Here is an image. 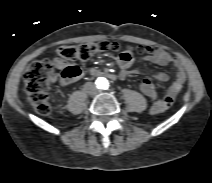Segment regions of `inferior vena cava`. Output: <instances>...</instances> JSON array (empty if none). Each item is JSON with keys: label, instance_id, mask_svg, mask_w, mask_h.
<instances>
[{"label": "inferior vena cava", "instance_id": "inferior-vena-cava-1", "mask_svg": "<svg viewBox=\"0 0 212 183\" xmlns=\"http://www.w3.org/2000/svg\"><path fill=\"white\" fill-rule=\"evenodd\" d=\"M85 91L87 92V94L92 95V96H95L99 93V90L91 82H88L85 84Z\"/></svg>", "mask_w": 212, "mask_h": 183}]
</instances>
